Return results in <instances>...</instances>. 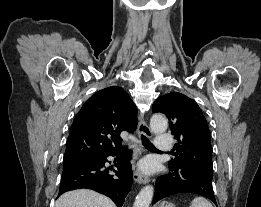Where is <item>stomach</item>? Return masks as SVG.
I'll return each mask as SVG.
<instances>
[{
	"label": "stomach",
	"instance_id": "1",
	"mask_svg": "<svg viewBox=\"0 0 261 207\" xmlns=\"http://www.w3.org/2000/svg\"><path fill=\"white\" fill-rule=\"evenodd\" d=\"M158 207H175V205L170 202L163 201L162 203L159 204Z\"/></svg>",
	"mask_w": 261,
	"mask_h": 207
}]
</instances>
